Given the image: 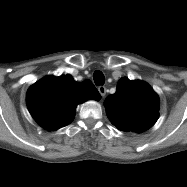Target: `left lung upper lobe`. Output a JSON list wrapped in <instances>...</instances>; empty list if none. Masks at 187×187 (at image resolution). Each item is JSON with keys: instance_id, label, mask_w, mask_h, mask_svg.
Instances as JSON below:
<instances>
[{"instance_id": "5c2ea615", "label": "left lung upper lobe", "mask_w": 187, "mask_h": 187, "mask_svg": "<svg viewBox=\"0 0 187 187\" xmlns=\"http://www.w3.org/2000/svg\"><path fill=\"white\" fill-rule=\"evenodd\" d=\"M106 113L121 131L143 132L159 117V100L154 90L143 81L121 78L117 90L105 100Z\"/></svg>"}]
</instances>
